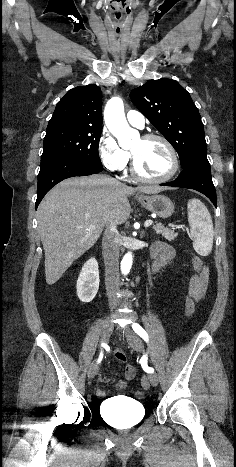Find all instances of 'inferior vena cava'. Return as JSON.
<instances>
[{"label": "inferior vena cava", "mask_w": 236, "mask_h": 467, "mask_svg": "<svg viewBox=\"0 0 236 467\" xmlns=\"http://www.w3.org/2000/svg\"><path fill=\"white\" fill-rule=\"evenodd\" d=\"M120 235L115 224L108 226L102 239L105 263V285L110 305H118Z\"/></svg>", "instance_id": "1"}]
</instances>
